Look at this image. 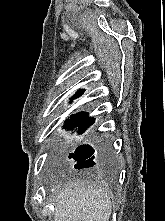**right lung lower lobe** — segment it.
Wrapping results in <instances>:
<instances>
[{
    "label": "right lung lower lobe",
    "mask_w": 165,
    "mask_h": 221,
    "mask_svg": "<svg viewBox=\"0 0 165 221\" xmlns=\"http://www.w3.org/2000/svg\"><path fill=\"white\" fill-rule=\"evenodd\" d=\"M69 158L77 160L76 169L108 168L111 165L107 146H101L100 149L94 150L90 145H81L75 150L74 154L69 155Z\"/></svg>",
    "instance_id": "1"
}]
</instances>
